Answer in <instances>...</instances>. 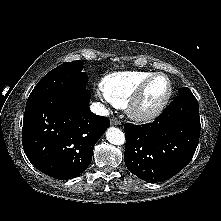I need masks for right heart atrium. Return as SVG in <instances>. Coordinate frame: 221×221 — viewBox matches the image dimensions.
<instances>
[{"instance_id":"obj_1","label":"right heart atrium","mask_w":221,"mask_h":221,"mask_svg":"<svg viewBox=\"0 0 221 221\" xmlns=\"http://www.w3.org/2000/svg\"><path fill=\"white\" fill-rule=\"evenodd\" d=\"M99 97L106 103H111L108 98H106L103 94H99ZM112 104V103H111Z\"/></svg>"}]
</instances>
